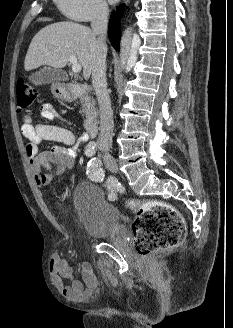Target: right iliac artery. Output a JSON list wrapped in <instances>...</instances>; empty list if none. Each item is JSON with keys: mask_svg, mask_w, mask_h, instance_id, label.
I'll return each mask as SVG.
<instances>
[{"mask_svg": "<svg viewBox=\"0 0 233 328\" xmlns=\"http://www.w3.org/2000/svg\"><path fill=\"white\" fill-rule=\"evenodd\" d=\"M96 152V144L90 143L85 151L86 156L92 157ZM120 186V183L114 178H111L106 183V189L108 192V199L111 201L116 200L117 198V191Z\"/></svg>", "mask_w": 233, "mask_h": 328, "instance_id": "right-iliac-artery-1", "label": "right iliac artery"}]
</instances>
